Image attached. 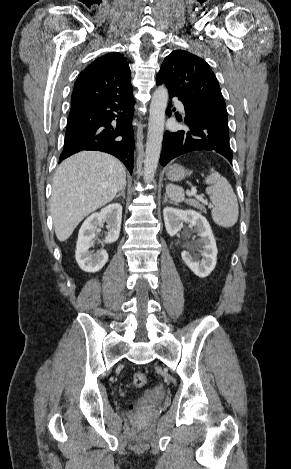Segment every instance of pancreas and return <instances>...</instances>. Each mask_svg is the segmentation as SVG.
I'll list each match as a JSON object with an SVG mask.
<instances>
[{"mask_svg": "<svg viewBox=\"0 0 291 469\" xmlns=\"http://www.w3.org/2000/svg\"><path fill=\"white\" fill-rule=\"evenodd\" d=\"M185 202H186V204H188V205H190V206H193V207L199 209L200 211H203V212L206 211V210H205V207H204L202 204H200V203H199L197 200H195V199H186Z\"/></svg>", "mask_w": 291, "mask_h": 469, "instance_id": "1", "label": "pancreas"}]
</instances>
